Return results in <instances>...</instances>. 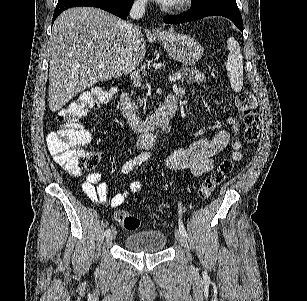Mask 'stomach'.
<instances>
[{"label": "stomach", "mask_w": 307, "mask_h": 301, "mask_svg": "<svg viewBox=\"0 0 307 301\" xmlns=\"http://www.w3.org/2000/svg\"><path fill=\"white\" fill-rule=\"evenodd\" d=\"M157 40L185 66L200 60L203 48L195 38L182 32H157Z\"/></svg>", "instance_id": "0dacf381"}]
</instances>
